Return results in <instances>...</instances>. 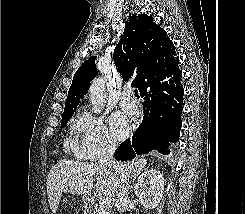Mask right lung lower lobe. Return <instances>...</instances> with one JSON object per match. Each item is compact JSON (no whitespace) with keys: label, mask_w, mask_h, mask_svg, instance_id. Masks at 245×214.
I'll return each instance as SVG.
<instances>
[{"label":"right lung lower lobe","mask_w":245,"mask_h":214,"mask_svg":"<svg viewBox=\"0 0 245 214\" xmlns=\"http://www.w3.org/2000/svg\"><path fill=\"white\" fill-rule=\"evenodd\" d=\"M178 62L153 69L140 95L144 98V118L132 138L115 151V158L127 161L136 155L157 150L169 154L170 143L179 140L184 90Z\"/></svg>","instance_id":"obj_1"}]
</instances>
